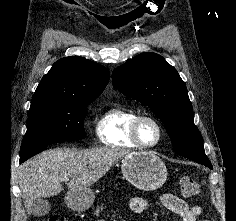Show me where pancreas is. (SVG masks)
Masks as SVG:
<instances>
[{
  "instance_id": "cf45deb5",
  "label": "pancreas",
  "mask_w": 236,
  "mask_h": 221,
  "mask_svg": "<svg viewBox=\"0 0 236 221\" xmlns=\"http://www.w3.org/2000/svg\"><path fill=\"white\" fill-rule=\"evenodd\" d=\"M104 204H102L101 206H99L96 210V214H99V212L103 209Z\"/></svg>"
}]
</instances>
